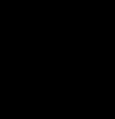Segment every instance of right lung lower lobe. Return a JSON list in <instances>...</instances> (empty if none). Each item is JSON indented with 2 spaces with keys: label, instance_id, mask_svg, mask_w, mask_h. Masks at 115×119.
I'll return each mask as SVG.
<instances>
[{
  "label": "right lung lower lobe",
  "instance_id": "1",
  "mask_svg": "<svg viewBox=\"0 0 115 119\" xmlns=\"http://www.w3.org/2000/svg\"><path fill=\"white\" fill-rule=\"evenodd\" d=\"M14 94L37 99L50 88V68L42 56L9 63L0 67V84Z\"/></svg>",
  "mask_w": 115,
  "mask_h": 119
}]
</instances>
